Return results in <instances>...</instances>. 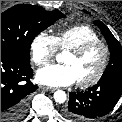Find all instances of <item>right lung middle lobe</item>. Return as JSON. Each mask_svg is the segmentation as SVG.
Returning a JSON list of instances; mask_svg holds the SVG:
<instances>
[{
	"label": "right lung middle lobe",
	"mask_w": 122,
	"mask_h": 122,
	"mask_svg": "<svg viewBox=\"0 0 122 122\" xmlns=\"http://www.w3.org/2000/svg\"><path fill=\"white\" fill-rule=\"evenodd\" d=\"M65 17L58 10L46 11L42 7L19 4L1 13V49H5L30 62L33 39L56 20Z\"/></svg>",
	"instance_id": "obj_1"
}]
</instances>
